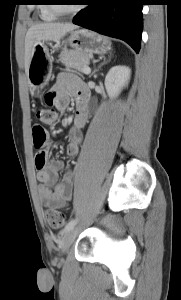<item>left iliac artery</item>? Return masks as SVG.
I'll list each match as a JSON object with an SVG mask.
<instances>
[{
	"label": "left iliac artery",
	"mask_w": 181,
	"mask_h": 300,
	"mask_svg": "<svg viewBox=\"0 0 181 300\" xmlns=\"http://www.w3.org/2000/svg\"><path fill=\"white\" fill-rule=\"evenodd\" d=\"M77 219H72L68 222V224L65 226V228L62 230V234L69 231L71 228H73L77 224Z\"/></svg>",
	"instance_id": "left-iliac-artery-1"
}]
</instances>
